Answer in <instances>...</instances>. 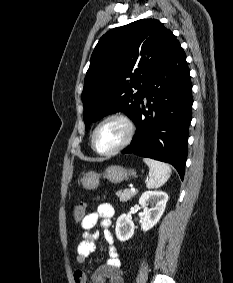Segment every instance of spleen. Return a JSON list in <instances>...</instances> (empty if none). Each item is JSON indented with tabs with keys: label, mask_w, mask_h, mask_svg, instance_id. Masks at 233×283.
<instances>
[{
	"label": "spleen",
	"mask_w": 233,
	"mask_h": 283,
	"mask_svg": "<svg viewBox=\"0 0 233 283\" xmlns=\"http://www.w3.org/2000/svg\"><path fill=\"white\" fill-rule=\"evenodd\" d=\"M143 161L149 167L148 189L159 188L170 178L171 168L167 164L150 158H143Z\"/></svg>",
	"instance_id": "spleen-1"
}]
</instances>
